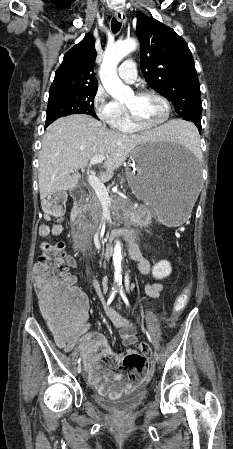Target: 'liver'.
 Segmentation results:
<instances>
[{"mask_svg": "<svg viewBox=\"0 0 233 449\" xmlns=\"http://www.w3.org/2000/svg\"><path fill=\"white\" fill-rule=\"evenodd\" d=\"M179 130V121H170L140 134L127 135L108 129L89 115L57 119L46 129L39 153L40 199L74 189L79 181L76 171L91 167L94 156H107L100 179L109 181L137 146L146 142H171Z\"/></svg>", "mask_w": 233, "mask_h": 449, "instance_id": "6515ba94", "label": "liver"}]
</instances>
